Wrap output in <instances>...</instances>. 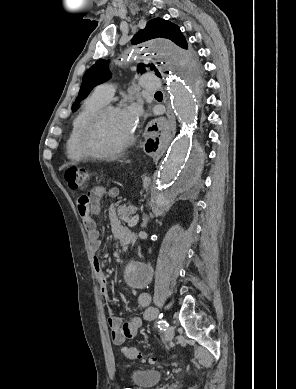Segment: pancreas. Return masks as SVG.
Masks as SVG:
<instances>
[{"instance_id": "1", "label": "pancreas", "mask_w": 296, "mask_h": 389, "mask_svg": "<svg viewBox=\"0 0 296 389\" xmlns=\"http://www.w3.org/2000/svg\"><path fill=\"white\" fill-rule=\"evenodd\" d=\"M118 215L119 218L124 221V222H129L130 216L136 212V208L132 205L126 206V205H121L118 207Z\"/></svg>"}]
</instances>
